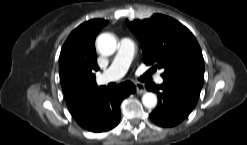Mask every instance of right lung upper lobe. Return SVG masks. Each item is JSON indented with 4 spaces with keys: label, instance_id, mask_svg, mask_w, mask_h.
<instances>
[{
    "label": "right lung upper lobe",
    "instance_id": "1",
    "mask_svg": "<svg viewBox=\"0 0 247 145\" xmlns=\"http://www.w3.org/2000/svg\"><path fill=\"white\" fill-rule=\"evenodd\" d=\"M107 23L106 20L93 19L81 24L61 49L59 74L68 108L99 89L94 76V71L98 70L94 39Z\"/></svg>",
    "mask_w": 247,
    "mask_h": 145
}]
</instances>
